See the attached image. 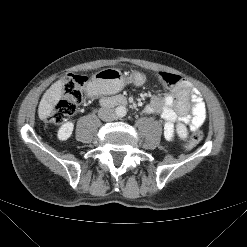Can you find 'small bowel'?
Instances as JSON below:
<instances>
[{"instance_id": "obj_1", "label": "small bowel", "mask_w": 247, "mask_h": 247, "mask_svg": "<svg viewBox=\"0 0 247 247\" xmlns=\"http://www.w3.org/2000/svg\"><path fill=\"white\" fill-rule=\"evenodd\" d=\"M146 113L159 114L163 120L165 139L175 136V124H188L190 132L197 130L206 118V107L199 92L188 81H182L164 98L156 96L145 107Z\"/></svg>"}]
</instances>
